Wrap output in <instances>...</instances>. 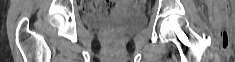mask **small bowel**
Wrapping results in <instances>:
<instances>
[{
    "label": "small bowel",
    "mask_w": 235,
    "mask_h": 62,
    "mask_svg": "<svg viewBox=\"0 0 235 62\" xmlns=\"http://www.w3.org/2000/svg\"><path fill=\"white\" fill-rule=\"evenodd\" d=\"M88 6L94 10H97L98 8H100L101 11H99V12H101V13H108V12L112 11L114 8L111 4L101 3V2L90 3Z\"/></svg>",
    "instance_id": "obj_1"
}]
</instances>
